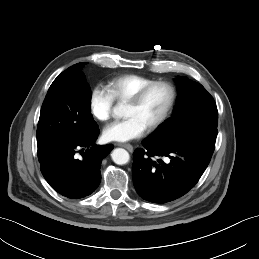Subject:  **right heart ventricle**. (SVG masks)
Masks as SVG:
<instances>
[{"label": "right heart ventricle", "instance_id": "obj_1", "mask_svg": "<svg viewBox=\"0 0 259 259\" xmlns=\"http://www.w3.org/2000/svg\"><path fill=\"white\" fill-rule=\"evenodd\" d=\"M154 79L137 75V74H126L112 79L107 89L110 92L113 100L118 103L126 102L136 92L152 83Z\"/></svg>", "mask_w": 259, "mask_h": 259}]
</instances>
